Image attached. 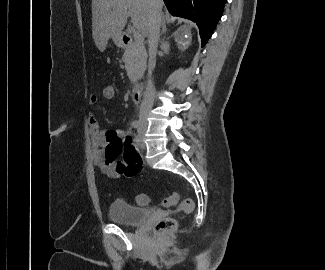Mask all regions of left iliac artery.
<instances>
[{
	"label": "left iliac artery",
	"instance_id": "left-iliac-artery-1",
	"mask_svg": "<svg viewBox=\"0 0 325 270\" xmlns=\"http://www.w3.org/2000/svg\"><path fill=\"white\" fill-rule=\"evenodd\" d=\"M138 140H139V139H138V137H137V136H135V141H136V143H138Z\"/></svg>",
	"mask_w": 325,
	"mask_h": 270
}]
</instances>
